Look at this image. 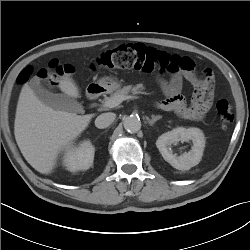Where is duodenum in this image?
<instances>
[{
	"label": "duodenum",
	"mask_w": 250,
	"mask_h": 250,
	"mask_svg": "<svg viewBox=\"0 0 250 250\" xmlns=\"http://www.w3.org/2000/svg\"><path fill=\"white\" fill-rule=\"evenodd\" d=\"M102 93H103V87L94 84L88 87L86 96L89 101H95Z\"/></svg>",
	"instance_id": "duodenum-1"
}]
</instances>
